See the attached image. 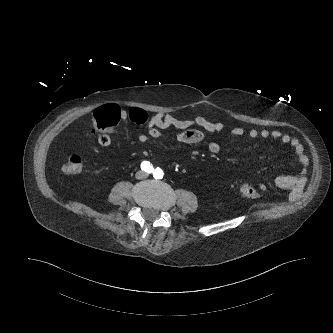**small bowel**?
Returning a JSON list of instances; mask_svg holds the SVG:
<instances>
[{"mask_svg":"<svg viewBox=\"0 0 333 333\" xmlns=\"http://www.w3.org/2000/svg\"><path fill=\"white\" fill-rule=\"evenodd\" d=\"M119 118L122 120H130L136 123L141 129H147L146 132L138 135L140 143H146L149 139H159L164 136V131L168 128H176L180 130L175 133L172 138L182 144H197L204 138L203 129L209 134H218L226 131V125L223 122H212L203 116H196L192 119H181L166 113H156L149 116L146 111L141 108L133 107L128 111L120 110ZM229 133L236 137L247 135L251 139L273 138L289 145L294 151L300 166L301 172L296 176H281L276 179V184L288 188L291 195H295L300 191L304 184L303 172L309 166V159L304 153V146L299 139L290 136L277 129H262L257 130L251 128L246 131L242 126L235 125L229 129ZM116 143V135L102 131L97 137V145L106 147ZM207 148L210 153L217 154L221 151L222 145L218 140H212L208 143ZM261 190L266 189L264 183H258Z\"/></svg>","mask_w":333,"mask_h":333,"instance_id":"c3829d8e","label":"small bowel"}]
</instances>
